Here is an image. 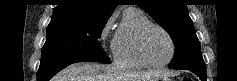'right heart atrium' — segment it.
<instances>
[{"instance_id": "1", "label": "right heart atrium", "mask_w": 237, "mask_h": 81, "mask_svg": "<svg viewBox=\"0 0 237 81\" xmlns=\"http://www.w3.org/2000/svg\"><path fill=\"white\" fill-rule=\"evenodd\" d=\"M114 21H115L114 16L113 15L109 16L105 20L98 36L99 43L102 49L107 53L113 52L114 50V38L111 37Z\"/></svg>"}]
</instances>
